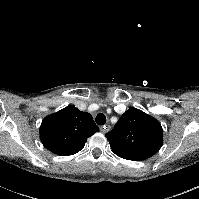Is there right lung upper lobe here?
I'll return each mask as SVG.
<instances>
[{
	"instance_id": "1",
	"label": "right lung upper lobe",
	"mask_w": 199,
	"mask_h": 199,
	"mask_svg": "<svg viewBox=\"0 0 199 199\" xmlns=\"http://www.w3.org/2000/svg\"><path fill=\"white\" fill-rule=\"evenodd\" d=\"M99 131L90 113L73 105L45 117L40 126L42 144L58 155H73L85 145L88 137Z\"/></svg>"
}]
</instances>
